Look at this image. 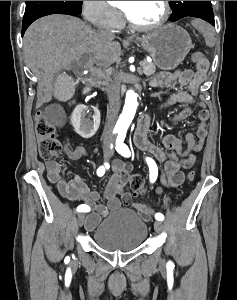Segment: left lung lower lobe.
<instances>
[{"mask_svg":"<svg viewBox=\"0 0 237 300\" xmlns=\"http://www.w3.org/2000/svg\"><path fill=\"white\" fill-rule=\"evenodd\" d=\"M206 21L211 23L214 26V17L213 18H208Z\"/></svg>","mask_w":237,"mask_h":300,"instance_id":"0a47b994","label":"left lung lower lobe"}]
</instances>
